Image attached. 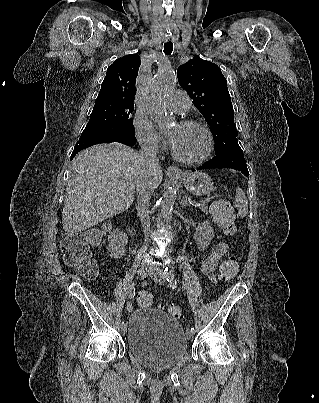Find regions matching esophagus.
Returning <instances> with one entry per match:
<instances>
[{
	"mask_svg": "<svg viewBox=\"0 0 319 403\" xmlns=\"http://www.w3.org/2000/svg\"><path fill=\"white\" fill-rule=\"evenodd\" d=\"M167 171H168L169 173H171V174H179V173H180L179 168L176 167V166H169L168 169H167Z\"/></svg>",
	"mask_w": 319,
	"mask_h": 403,
	"instance_id": "34e87169",
	"label": "esophagus"
}]
</instances>
